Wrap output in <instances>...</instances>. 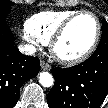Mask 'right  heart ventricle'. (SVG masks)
<instances>
[{"label": "right heart ventricle", "mask_w": 108, "mask_h": 108, "mask_svg": "<svg viewBox=\"0 0 108 108\" xmlns=\"http://www.w3.org/2000/svg\"><path fill=\"white\" fill-rule=\"evenodd\" d=\"M76 12L78 11H42L28 19L26 28L41 43L48 44L60 25Z\"/></svg>", "instance_id": "right-heart-ventricle-1"}]
</instances>
